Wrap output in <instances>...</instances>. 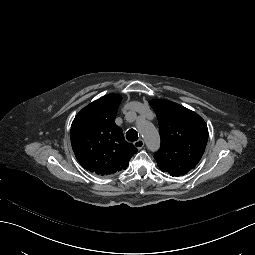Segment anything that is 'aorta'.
<instances>
[{"instance_id": "1", "label": "aorta", "mask_w": 255, "mask_h": 255, "mask_svg": "<svg viewBox=\"0 0 255 255\" xmlns=\"http://www.w3.org/2000/svg\"><path fill=\"white\" fill-rule=\"evenodd\" d=\"M138 129L141 132L147 147L151 151H155L160 146V137L158 130L150 122H143L138 124Z\"/></svg>"}]
</instances>
